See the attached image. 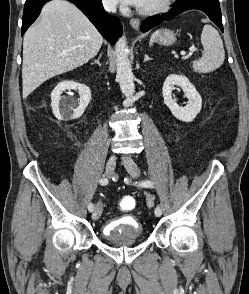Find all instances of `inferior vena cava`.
Instances as JSON below:
<instances>
[{
  "label": "inferior vena cava",
  "mask_w": 249,
  "mask_h": 294,
  "mask_svg": "<svg viewBox=\"0 0 249 294\" xmlns=\"http://www.w3.org/2000/svg\"><path fill=\"white\" fill-rule=\"evenodd\" d=\"M116 0H103V6L107 12H116Z\"/></svg>",
  "instance_id": "1"
}]
</instances>
